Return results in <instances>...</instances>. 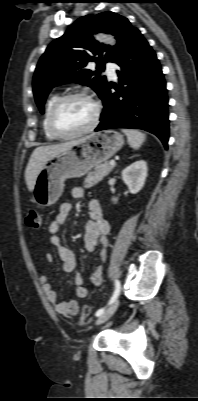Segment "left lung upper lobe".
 Here are the masks:
<instances>
[{"mask_svg": "<svg viewBox=\"0 0 198 401\" xmlns=\"http://www.w3.org/2000/svg\"><path fill=\"white\" fill-rule=\"evenodd\" d=\"M134 30L127 18L103 12L79 18L62 37L54 40L40 58L33 77V93L41 113L48 93L60 84L87 85L101 97L107 84L106 77L101 76L105 63L115 62ZM97 32L114 35L116 46L100 45L93 40L92 34ZM89 61L97 63V71L85 68Z\"/></svg>", "mask_w": 198, "mask_h": 401, "instance_id": "1", "label": "left lung upper lobe"}]
</instances>
